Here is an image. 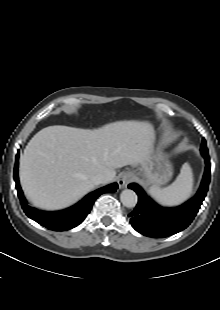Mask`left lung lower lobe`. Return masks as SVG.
Listing matches in <instances>:
<instances>
[{"label": "left lung lower lobe", "instance_id": "left-lung-lower-lobe-1", "mask_svg": "<svg viewBox=\"0 0 220 310\" xmlns=\"http://www.w3.org/2000/svg\"><path fill=\"white\" fill-rule=\"evenodd\" d=\"M206 167L200 188L186 203L175 208H165L156 204L143 189L131 183L128 187L138 194V204L129 214L133 228L148 237L161 238L176 234L187 228L196 216L209 187L211 178L209 154H202Z\"/></svg>", "mask_w": 220, "mask_h": 310}]
</instances>
